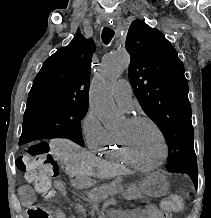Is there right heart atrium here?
<instances>
[{
    "label": "right heart atrium",
    "instance_id": "1",
    "mask_svg": "<svg viewBox=\"0 0 211 218\" xmlns=\"http://www.w3.org/2000/svg\"><path fill=\"white\" fill-rule=\"evenodd\" d=\"M80 127L88 146L94 150L106 139L109 132L92 108L84 114Z\"/></svg>",
    "mask_w": 211,
    "mask_h": 218
}]
</instances>
